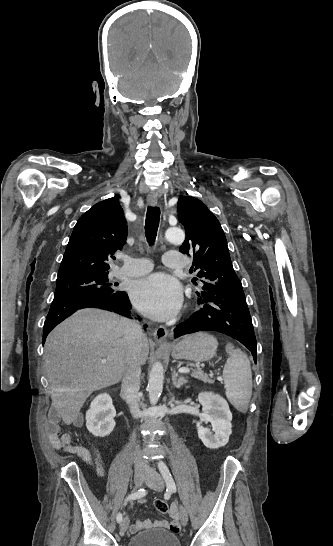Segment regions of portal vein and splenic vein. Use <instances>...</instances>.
I'll list each match as a JSON object with an SVG mask.
<instances>
[{"label":"portal vein and splenic vein","mask_w":333,"mask_h":546,"mask_svg":"<svg viewBox=\"0 0 333 546\" xmlns=\"http://www.w3.org/2000/svg\"><path fill=\"white\" fill-rule=\"evenodd\" d=\"M101 362H102V363H106L107 360H106V359H102ZM178 372H179V373H189V372H190V369H189V368L182 367V368H179V369H178Z\"/></svg>","instance_id":"portal-vein-and-splenic-vein-1"}]
</instances>
